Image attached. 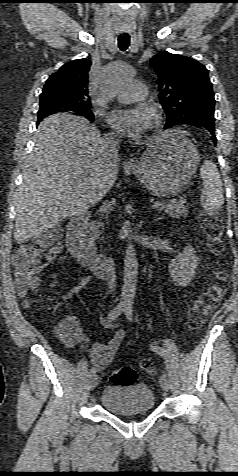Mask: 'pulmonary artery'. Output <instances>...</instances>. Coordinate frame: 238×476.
Instances as JSON below:
<instances>
[{"label": "pulmonary artery", "mask_w": 238, "mask_h": 476, "mask_svg": "<svg viewBox=\"0 0 238 476\" xmlns=\"http://www.w3.org/2000/svg\"><path fill=\"white\" fill-rule=\"evenodd\" d=\"M147 96V86L138 80L130 81L118 93L117 100L121 103H130L142 100Z\"/></svg>", "instance_id": "1"}]
</instances>
